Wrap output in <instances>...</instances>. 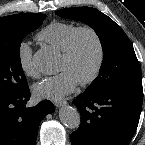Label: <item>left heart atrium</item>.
Segmentation results:
<instances>
[{"label": "left heart atrium", "instance_id": "1", "mask_svg": "<svg viewBox=\"0 0 145 145\" xmlns=\"http://www.w3.org/2000/svg\"><path fill=\"white\" fill-rule=\"evenodd\" d=\"M78 84L77 79L67 70L46 78L33 87V94L39 99L59 100L72 93Z\"/></svg>", "mask_w": 145, "mask_h": 145}]
</instances>
